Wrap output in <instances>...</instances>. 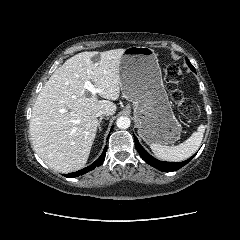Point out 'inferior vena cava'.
Wrapping results in <instances>:
<instances>
[{
    "label": "inferior vena cava",
    "mask_w": 240,
    "mask_h": 240,
    "mask_svg": "<svg viewBox=\"0 0 240 240\" xmlns=\"http://www.w3.org/2000/svg\"><path fill=\"white\" fill-rule=\"evenodd\" d=\"M103 115L109 116V112L107 110H100L97 112V116H103Z\"/></svg>",
    "instance_id": "602c4592"
}]
</instances>
